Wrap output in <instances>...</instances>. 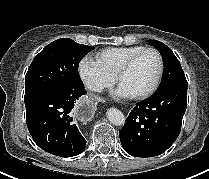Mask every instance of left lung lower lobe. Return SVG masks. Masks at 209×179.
I'll return each mask as SVG.
<instances>
[{"instance_id":"left-lung-lower-lobe-1","label":"left lung lower lobe","mask_w":209,"mask_h":179,"mask_svg":"<svg viewBox=\"0 0 209 179\" xmlns=\"http://www.w3.org/2000/svg\"><path fill=\"white\" fill-rule=\"evenodd\" d=\"M187 87V84H177L136 104L119 131L121 144L128 154L157 156L175 142L187 107Z\"/></svg>"}]
</instances>
